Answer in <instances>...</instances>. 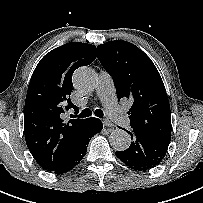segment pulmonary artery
<instances>
[{
	"label": "pulmonary artery",
	"instance_id": "obj_1",
	"mask_svg": "<svg viewBox=\"0 0 203 203\" xmlns=\"http://www.w3.org/2000/svg\"><path fill=\"white\" fill-rule=\"evenodd\" d=\"M97 94L102 100L108 116L119 125L129 127V117L118 105L113 80L105 71L100 73Z\"/></svg>",
	"mask_w": 203,
	"mask_h": 203
}]
</instances>
